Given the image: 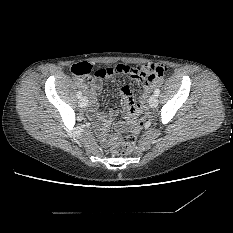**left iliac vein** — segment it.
<instances>
[{
	"label": "left iliac vein",
	"instance_id": "4c4485c4",
	"mask_svg": "<svg viewBox=\"0 0 233 233\" xmlns=\"http://www.w3.org/2000/svg\"><path fill=\"white\" fill-rule=\"evenodd\" d=\"M148 102H149V105H150L151 107H156L157 104H158L157 96H156L155 94H154V95H151L150 98H149V100H148Z\"/></svg>",
	"mask_w": 233,
	"mask_h": 233
}]
</instances>
